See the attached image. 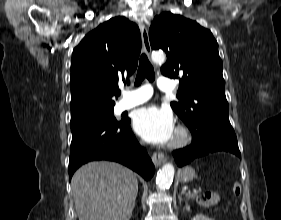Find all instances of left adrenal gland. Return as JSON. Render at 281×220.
<instances>
[{"instance_id": "obj_1", "label": "left adrenal gland", "mask_w": 281, "mask_h": 220, "mask_svg": "<svg viewBox=\"0 0 281 220\" xmlns=\"http://www.w3.org/2000/svg\"><path fill=\"white\" fill-rule=\"evenodd\" d=\"M183 193H184V192L182 191L181 195L178 196L179 204H181V202L183 201V200H182V197H181ZM185 205H186V207H187V206H188V203L185 202Z\"/></svg>"}]
</instances>
